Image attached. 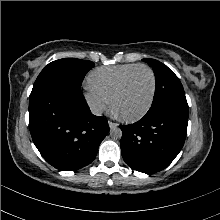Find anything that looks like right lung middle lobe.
Wrapping results in <instances>:
<instances>
[{"label":"right lung middle lobe","instance_id":"1","mask_svg":"<svg viewBox=\"0 0 220 220\" xmlns=\"http://www.w3.org/2000/svg\"><path fill=\"white\" fill-rule=\"evenodd\" d=\"M93 67V62L76 58L53 61L41 71L33 89L47 85H65L80 89L85 75Z\"/></svg>","mask_w":220,"mask_h":220}]
</instances>
